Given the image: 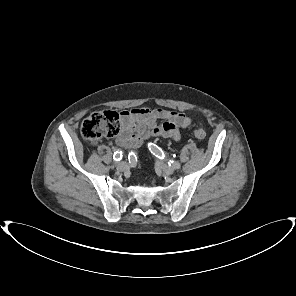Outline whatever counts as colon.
<instances>
[{"instance_id":"obj_1","label":"colon","mask_w":296,"mask_h":296,"mask_svg":"<svg viewBox=\"0 0 296 296\" xmlns=\"http://www.w3.org/2000/svg\"><path fill=\"white\" fill-rule=\"evenodd\" d=\"M121 113L114 110L97 111L90 114L81 124V134L90 143H97L104 137H113L120 131ZM198 139L206 137L202 127L194 130Z\"/></svg>"}]
</instances>
